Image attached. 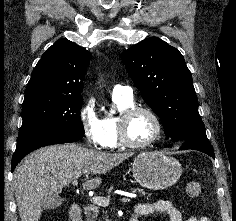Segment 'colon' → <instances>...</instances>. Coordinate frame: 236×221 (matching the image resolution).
I'll use <instances>...</instances> for the list:
<instances>
[{"instance_id": "5ec220e1", "label": "colon", "mask_w": 236, "mask_h": 221, "mask_svg": "<svg viewBox=\"0 0 236 221\" xmlns=\"http://www.w3.org/2000/svg\"><path fill=\"white\" fill-rule=\"evenodd\" d=\"M185 191L189 198H198L203 194V187L200 182L190 181L186 184Z\"/></svg>"}]
</instances>
